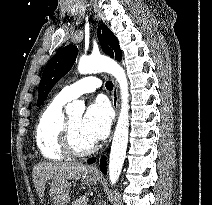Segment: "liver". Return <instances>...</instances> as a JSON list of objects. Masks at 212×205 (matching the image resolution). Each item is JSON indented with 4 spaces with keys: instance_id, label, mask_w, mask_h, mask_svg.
<instances>
[{
    "instance_id": "1",
    "label": "liver",
    "mask_w": 212,
    "mask_h": 205,
    "mask_svg": "<svg viewBox=\"0 0 212 205\" xmlns=\"http://www.w3.org/2000/svg\"><path fill=\"white\" fill-rule=\"evenodd\" d=\"M88 166L73 163H39L33 169L34 185L40 200H43L48 180H79L85 176Z\"/></svg>"
}]
</instances>
